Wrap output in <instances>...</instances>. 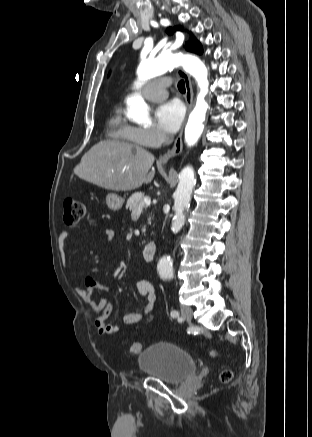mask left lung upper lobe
Segmentation results:
<instances>
[{"label": "left lung upper lobe", "instance_id": "5c2ea615", "mask_svg": "<svg viewBox=\"0 0 312 437\" xmlns=\"http://www.w3.org/2000/svg\"><path fill=\"white\" fill-rule=\"evenodd\" d=\"M178 27H174L173 29L170 27L167 29L168 34H171L173 31L178 30ZM185 48L188 51H192L195 53H202V47L199 41H197L193 36H191L190 40L185 44Z\"/></svg>", "mask_w": 312, "mask_h": 437}]
</instances>
